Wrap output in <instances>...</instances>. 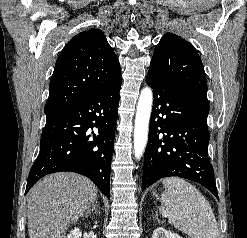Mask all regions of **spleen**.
I'll list each match as a JSON object with an SVG mask.
<instances>
[{
	"instance_id": "1",
	"label": "spleen",
	"mask_w": 247,
	"mask_h": 238,
	"mask_svg": "<svg viewBox=\"0 0 247 238\" xmlns=\"http://www.w3.org/2000/svg\"><path fill=\"white\" fill-rule=\"evenodd\" d=\"M165 192L159 211L191 238H218L219 230L209 202L198 189L178 177L162 180Z\"/></svg>"
}]
</instances>
